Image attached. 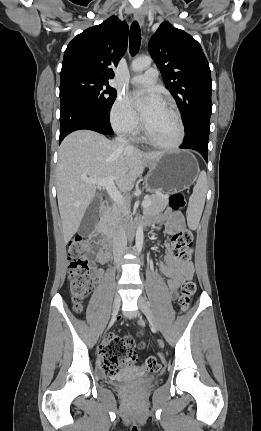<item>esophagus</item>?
<instances>
[{
	"label": "esophagus",
	"instance_id": "obj_1",
	"mask_svg": "<svg viewBox=\"0 0 261 431\" xmlns=\"http://www.w3.org/2000/svg\"><path fill=\"white\" fill-rule=\"evenodd\" d=\"M134 17L137 20V22L139 23V25L142 27L144 25V17L142 15L141 11L136 9L134 11Z\"/></svg>",
	"mask_w": 261,
	"mask_h": 431
}]
</instances>
